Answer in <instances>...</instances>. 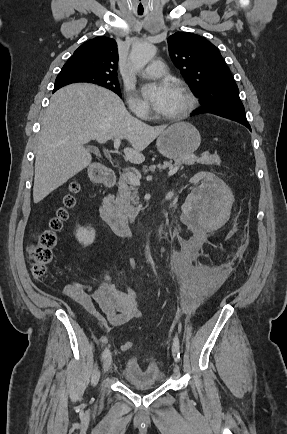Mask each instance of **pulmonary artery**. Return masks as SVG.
I'll use <instances>...</instances> for the list:
<instances>
[{"mask_svg":"<svg viewBox=\"0 0 287 434\" xmlns=\"http://www.w3.org/2000/svg\"><path fill=\"white\" fill-rule=\"evenodd\" d=\"M164 73V63L161 60H154L141 72V76L146 78H155L163 76Z\"/></svg>","mask_w":287,"mask_h":434,"instance_id":"pulmonary-artery-1","label":"pulmonary artery"}]
</instances>
